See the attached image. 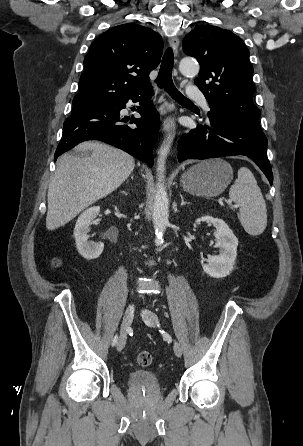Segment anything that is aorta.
<instances>
[{
    "instance_id": "1",
    "label": "aorta",
    "mask_w": 303,
    "mask_h": 446,
    "mask_svg": "<svg viewBox=\"0 0 303 446\" xmlns=\"http://www.w3.org/2000/svg\"><path fill=\"white\" fill-rule=\"evenodd\" d=\"M180 71L184 75L195 76L199 73V65L191 59H183L180 62ZM173 141V136L169 135L161 145L158 150V161H157V176L158 184L157 191L154 198L153 204V225L155 229V244L161 246L164 242L163 234L168 225L169 217V200L167 192L164 186V171H165V161L167 159L171 144Z\"/></svg>"
}]
</instances>
